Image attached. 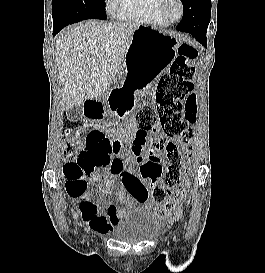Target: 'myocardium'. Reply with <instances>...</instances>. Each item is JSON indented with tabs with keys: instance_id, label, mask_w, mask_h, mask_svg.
<instances>
[{
	"instance_id": "obj_1",
	"label": "myocardium",
	"mask_w": 265,
	"mask_h": 273,
	"mask_svg": "<svg viewBox=\"0 0 265 273\" xmlns=\"http://www.w3.org/2000/svg\"><path fill=\"white\" fill-rule=\"evenodd\" d=\"M168 0H159L158 3V11L159 14L161 15V17H163L168 23H176L179 22L185 13V4L183 0H177V2L179 3L180 6V14L177 18L175 19H171L167 16L166 11H165V6L167 4Z\"/></svg>"
}]
</instances>
